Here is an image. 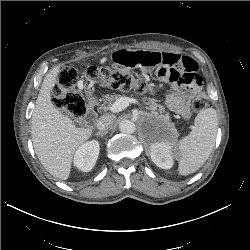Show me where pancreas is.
I'll return each instance as SVG.
<instances>
[{
    "mask_svg": "<svg viewBox=\"0 0 250 250\" xmlns=\"http://www.w3.org/2000/svg\"><path fill=\"white\" fill-rule=\"evenodd\" d=\"M118 98H120L119 95H104L101 101L103 104L99 107L101 110H108L110 105L116 101ZM158 101L155 99H147V105L149 106V109L151 110L152 114L156 117H159L163 120H167L169 118V114L166 113L165 108L163 105H160L157 103ZM168 127L172 131L175 137H177V130L174 126V124L168 122Z\"/></svg>",
    "mask_w": 250,
    "mask_h": 250,
    "instance_id": "pancreas-1",
    "label": "pancreas"
}]
</instances>
